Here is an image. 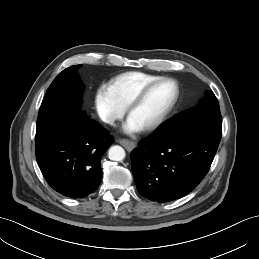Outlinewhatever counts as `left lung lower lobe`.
Instances as JSON below:
<instances>
[{
    "instance_id": "obj_1",
    "label": "left lung lower lobe",
    "mask_w": 259,
    "mask_h": 259,
    "mask_svg": "<svg viewBox=\"0 0 259 259\" xmlns=\"http://www.w3.org/2000/svg\"><path fill=\"white\" fill-rule=\"evenodd\" d=\"M221 136V122L192 120L141 140L130 156L138 192L160 203L188 194L209 171Z\"/></svg>"
}]
</instances>
